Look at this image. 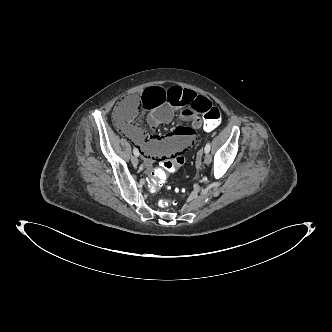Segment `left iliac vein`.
<instances>
[{
    "mask_svg": "<svg viewBox=\"0 0 332 332\" xmlns=\"http://www.w3.org/2000/svg\"><path fill=\"white\" fill-rule=\"evenodd\" d=\"M212 161V157L210 154L206 153V155L204 156V163L205 164H210Z\"/></svg>",
    "mask_w": 332,
    "mask_h": 332,
    "instance_id": "obj_1",
    "label": "left iliac vein"
}]
</instances>
